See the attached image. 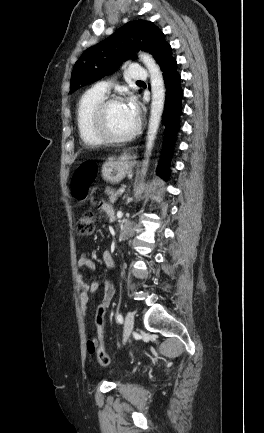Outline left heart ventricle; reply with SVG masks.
Wrapping results in <instances>:
<instances>
[{
	"label": "left heart ventricle",
	"mask_w": 264,
	"mask_h": 433,
	"mask_svg": "<svg viewBox=\"0 0 264 433\" xmlns=\"http://www.w3.org/2000/svg\"><path fill=\"white\" fill-rule=\"evenodd\" d=\"M137 119L132 116L125 103L110 106L106 114V124L110 133L122 136L130 132Z\"/></svg>",
	"instance_id": "left-heart-ventricle-1"
}]
</instances>
